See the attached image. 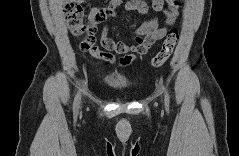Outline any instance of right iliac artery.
I'll list each match as a JSON object with an SVG mask.
<instances>
[{
    "label": "right iliac artery",
    "instance_id": "82829eb1",
    "mask_svg": "<svg viewBox=\"0 0 239 156\" xmlns=\"http://www.w3.org/2000/svg\"><path fill=\"white\" fill-rule=\"evenodd\" d=\"M81 100V93L78 92L75 96L74 103H73V111L76 113L79 109V104Z\"/></svg>",
    "mask_w": 239,
    "mask_h": 156
}]
</instances>
